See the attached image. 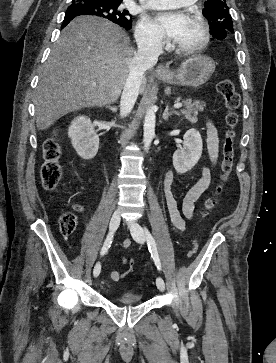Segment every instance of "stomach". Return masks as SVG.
<instances>
[{"label":"stomach","instance_id":"stomach-1","mask_svg":"<svg viewBox=\"0 0 276 363\" xmlns=\"http://www.w3.org/2000/svg\"><path fill=\"white\" fill-rule=\"evenodd\" d=\"M215 70V62L208 56H194L184 60L174 71L158 74L157 77L168 84L198 88L205 84Z\"/></svg>","mask_w":276,"mask_h":363}]
</instances>
